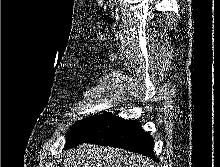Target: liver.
I'll list each match as a JSON object with an SVG mask.
<instances>
[{
	"mask_svg": "<svg viewBox=\"0 0 220 167\" xmlns=\"http://www.w3.org/2000/svg\"><path fill=\"white\" fill-rule=\"evenodd\" d=\"M63 167H149L146 160L131 152L93 144H82L67 152Z\"/></svg>",
	"mask_w": 220,
	"mask_h": 167,
	"instance_id": "liver-1",
	"label": "liver"
}]
</instances>
